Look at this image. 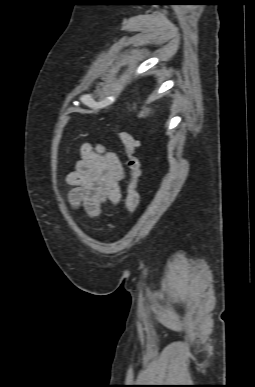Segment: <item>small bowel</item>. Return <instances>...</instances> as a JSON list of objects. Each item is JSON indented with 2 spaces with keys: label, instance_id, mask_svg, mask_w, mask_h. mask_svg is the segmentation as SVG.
I'll list each match as a JSON object with an SVG mask.
<instances>
[{
  "label": "small bowel",
  "instance_id": "1",
  "mask_svg": "<svg viewBox=\"0 0 255 387\" xmlns=\"http://www.w3.org/2000/svg\"><path fill=\"white\" fill-rule=\"evenodd\" d=\"M123 179L124 168L116 153L102 145L83 143L80 159L66 177L67 184L72 186L69 202L75 208H83L89 216L97 217L105 202H120Z\"/></svg>",
  "mask_w": 255,
  "mask_h": 387
}]
</instances>
